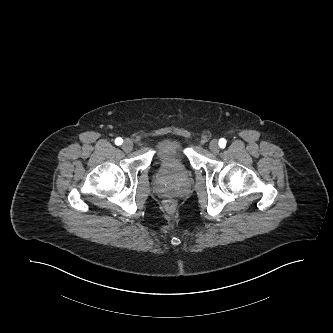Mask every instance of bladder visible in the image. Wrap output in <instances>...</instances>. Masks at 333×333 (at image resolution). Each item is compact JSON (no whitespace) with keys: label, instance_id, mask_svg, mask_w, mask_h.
Masks as SVG:
<instances>
[{"label":"bladder","instance_id":"1","mask_svg":"<svg viewBox=\"0 0 333 333\" xmlns=\"http://www.w3.org/2000/svg\"><path fill=\"white\" fill-rule=\"evenodd\" d=\"M183 143L176 138L167 137L162 139L157 147V157L162 163L176 161L182 154Z\"/></svg>","mask_w":333,"mask_h":333}]
</instances>
